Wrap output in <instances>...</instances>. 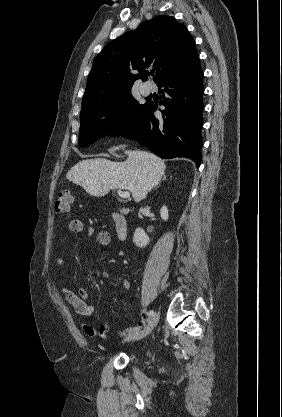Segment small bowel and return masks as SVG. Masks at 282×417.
Segmentation results:
<instances>
[{"instance_id":"1","label":"small bowel","mask_w":282,"mask_h":417,"mask_svg":"<svg viewBox=\"0 0 282 417\" xmlns=\"http://www.w3.org/2000/svg\"><path fill=\"white\" fill-rule=\"evenodd\" d=\"M69 229L72 233L75 234H81L85 231V224L80 219H73L69 223ZM87 232L89 235H92L94 233V228L89 227L87 229ZM97 242L100 246L106 247L111 242V237L108 231L101 230L97 234ZM56 264L58 267H61L63 264V258L62 256H58L56 258ZM107 283L115 288H122L124 290H129L130 283L128 280H116L112 278L107 279ZM65 296L67 301L74 307L75 311L86 318H89L94 315L95 313V306L92 304H87V300L89 298V292L86 288H81L79 290V295L75 294L73 291L69 289H65ZM142 323L140 322L138 324V327H141ZM82 330L86 336L94 337L96 335H99L103 339H108V332H109V325L107 323H103L98 329L94 328L93 326L89 324H83ZM134 328L133 327H127L123 330V335L129 336L133 333Z\"/></svg>"}]
</instances>
